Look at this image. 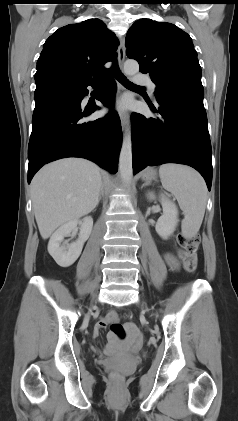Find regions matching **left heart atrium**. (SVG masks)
Instances as JSON below:
<instances>
[{"label":"left heart atrium","mask_w":238,"mask_h":421,"mask_svg":"<svg viewBox=\"0 0 238 421\" xmlns=\"http://www.w3.org/2000/svg\"><path fill=\"white\" fill-rule=\"evenodd\" d=\"M123 107H124L123 104H119L118 106L119 109H122Z\"/></svg>","instance_id":"1"}]
</instances>
